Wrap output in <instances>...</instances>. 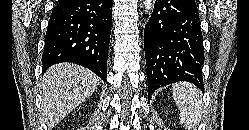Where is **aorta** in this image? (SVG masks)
I'll use <instances>...</instances> for the list:
<instances>
[{"instance_id": "obj_1", "label": "aorta", "mask_w": 249, "mask_h": 130, "mask_svg": "<svg viewBox=\"0 0 249 130\" xmlns=\"http://www.w3.org/2000/svg\"><path fill=\"white\" fill-rule=\"evenodd\" d=\"M154 4H155L154 0H143L145 12L150 14V12H152V10L154 9Z\"/></svg>"}]
</instances>
